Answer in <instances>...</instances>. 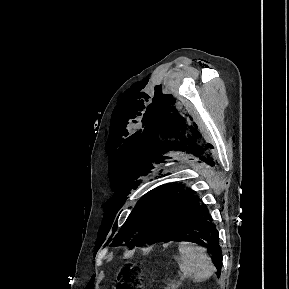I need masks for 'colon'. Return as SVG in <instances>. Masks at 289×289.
<instances>
[{"label": "colon", "mask_w": 289, "mask_h": 289, "mask_svg": "<svg viewBox=\"0 0 289 289\" xmlns=\"http://www.w3.org/2000/svg\"><path fill=\"white\" fill-rule=\"evenodd\" d=\"M141 288V274L139 271L131 268L127 274L120 277L116 283V289Z\"/></svg>", "instance_id": "obj_1"}]
</instances>
